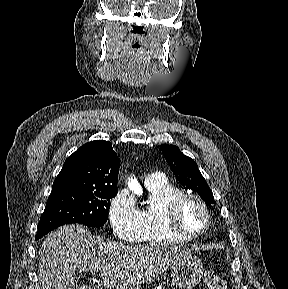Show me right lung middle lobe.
<instances>
[{
    "label": "right lung middle lobe",
    "instance_id": "obj_1",
    "mask_svg": "<svg viewBox=\"0 0 288 289\" xmlns=\"http://www.w3.org/2000/svg\"><path fill=\"white\" fill-rule=\"evenodd\" d=\"M118 189L102 191L58 190L52 191L40 218L37 237L68 223H81L101 227L108 219L109 201Z\"/></svg>",
    "mask_w": 288,
    "mask_h": 289
}]
</instances>
